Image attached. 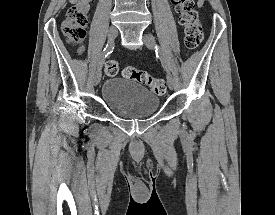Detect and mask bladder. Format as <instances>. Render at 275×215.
Masks as SVG:
<instances>
[{"label":"bladder","instance_id":"1","mask_svg":"<svg viewBox=\"0 0 275 215\" xmlns=\"http://www.w3.org/2000/svg\"><path fill=\"white\" fill-rule=\"evenodd\" d=\"M101 99L108 109L123 119H141L154 115L159 96L133 80L112 77L101 88Z\"/></svg>","mask_w":275,"mask_h":215}]
</instances>
